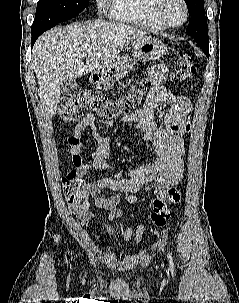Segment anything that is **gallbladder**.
<instances>
[{
  "mask_svg": "<svg viewBox=\"0 0 239 303\" xmlns=\"http://www.w3.org/2000/svg\"><path fill=\"white\" fill-rule=\"evenodd\" d=\"M77 82L75 79L72 80H65L62 82L61 85V93L62 94H70L77 89Z\"/></svg>",
  "mask_w": 239,
  "mask_h": 303,
  "instance_id": "obj_1",
  "label": "gallbladder"
}]
</instances>
